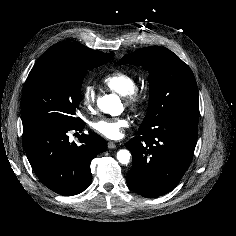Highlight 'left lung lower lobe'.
Wrapping results in <instances>:
<instances>
[{
    "instance_id": "left-lung-lower-lobe-1",
    "label": "left lung lower lobe",
    "mask_w": 236,
    "mask_h": 236,
    "mask_svg": "<svg viewBox=\"0 0 236 236\" xmlns=\"http://www.w3.org/2000/svg\"><path fill=\"white\" fill-rule=\"evenodd\" d=\"M198 119L171 117L138 129L125 146L132 153L127 184L134 192L154 198L171 191L188 169L197 143Z\"/></svg>"
}]
</instances>
